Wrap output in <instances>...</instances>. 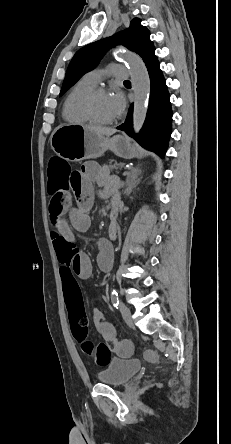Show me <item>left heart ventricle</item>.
Returning <instances> with one entry per match:
<instances>
[{
	"label": "left heart ventricle",
	"instance_id": "1",
	"mask_svg": "<svg viewBox=\"0 0 231 444\" xmlns=\"http://www.w3.org/2000/svg\"><path fill=\"white\" fill-rule=\"evenodd\" d=\"M92 109L95 117L99 120H111L117 116L109 94L97 95L92 102Z\"/></svg>",
	"mask_w": 231,
	"mask_h": 444
}]
</instances>
